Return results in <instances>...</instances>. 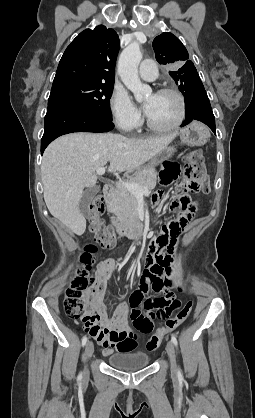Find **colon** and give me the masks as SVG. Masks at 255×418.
<instances>
[{
    "label": "colon",
    "mask_w": 255,
    "mask_h": 418,
    "mask_svg": "<svg viewBox=\"0 0 255 418\" xmlns=\"http://www.w3.org/2000/svg\"><path fill=\"white\" fill-rule=\"evenodd\" d=\"M184 178L179 188L180 195L173 202V207L181 209V214L178 216L181 222L191 221L198 208L197 202L190 199L187 193H208L210 191V179L199 153H191L186 157ZM160 197L161 193H157L154 200H158ZM103 213V199L97 197L91 203L89 210V230L94 235V243L87 244L84 247L80 257L81 266L65 293L64 307L67 315L73 319L82 320L86 330L97 327V315L85 311L87 289L94 280V253L98 246L103 249L114 247L118 239L117 235L104 225L101 219ZM163 227H173L175 233L180 227V222L174 220ZM160 236L161 230L157 237ZM192 305V301L186 302L174 317L166 320L165 324L147 342V349L150 351L157 349L162 337L187 319L192 310Z\"/></svg>",
    "instance_id": "5ec220e1"
}]
</instances>
